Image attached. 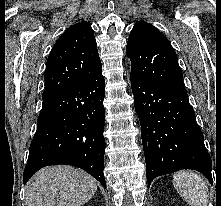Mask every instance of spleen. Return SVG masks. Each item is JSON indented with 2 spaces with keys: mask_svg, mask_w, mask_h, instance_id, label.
Masks as SVG:
<instances>
[{
  "mask_svg": "<svg viewBox=\"0 0 221 206\" xmlns=\"http://www.w3.org/2000/svg\"><path fill=\"white\" fill-rule=\"evenodd\" d=\"M173 185L191 206H208V186L197 173L183 170L173 175Z\"/></svg>",
  "mask_w": 221,
  "mask_h": 206,
  "instance_id": "spleen-1",
  "label": "spleen"
}]
</instances>
